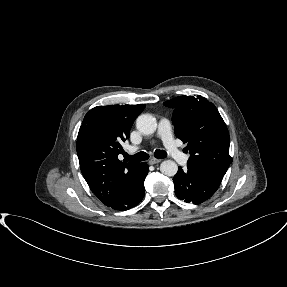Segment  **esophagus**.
Instances as JSON below:
<instances>
[{
    "label": "esophagus",
    "mask_w": 287,
    "mask_h": 287,
    "mask_svg": "<svg viewBox=\"0 0 287 287\" xmlns=\"http://www.w3.org/2000/svg\"><path fill=\"white\" fill-rule=\"evenodd\" d=\"M161 162V159H156V158H152L149 160V164L150 165H154V164H157V163H160Z\"/></svg>",
    "instance_id": "1"
}]
</instances>
